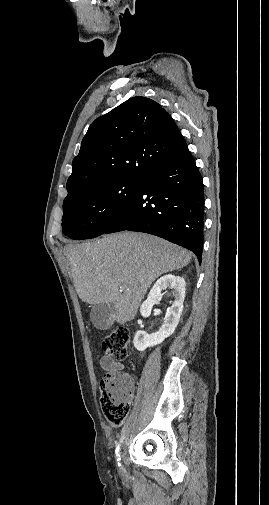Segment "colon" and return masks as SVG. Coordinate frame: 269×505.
Listing matches in <instances>:
<instances>
[{"label":"colon","instance_id":"1","mask_svg":"<svg viewBox=\"0 0 269 505\" xmlns=\"http://www.w3.org/2000/svg\"><path fill=\"white\" fill-rule=\"evenodd\" d=\"M130 332L125 327H117L103 340L102 349L106 355L123 360L128 355ZM132 382L128 374L106 375L100 382V403L107 421L114 427L120 426L130 412Z\"/></svg>","mask_w":269,"mask_h":505}]
</instances>
